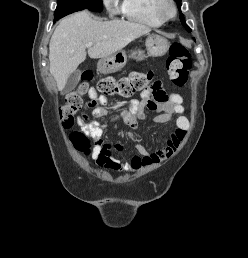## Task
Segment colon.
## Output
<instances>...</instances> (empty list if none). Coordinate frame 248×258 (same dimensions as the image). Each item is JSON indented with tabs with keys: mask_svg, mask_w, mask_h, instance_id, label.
Instances as JSON below:
<instances>
[{
	"mask_svg": "<svg viewBox=\"0 0 248 258\" xmlns=\"http://www.w3.org/2000/svg\"><path fill=\"white\" fill-rule=\"evenodd\" d=\"M190 69L191 56L189 51L182 44L173 43L167 60V71L171 81L177 86L185 85ZM91 78L90 73H85L79 88L67 95L64 104L59 108V118L62 125L66 127L73 125L74 114L82 107V96L87 92ZM152 80L153 74L151 72H133L120 79L111 76L104 77L98 82L97 88L103 95L131 97L150 89L154 96L160 98L165 96L161 84L159 82L152 84ZM70 139L79 152L89 153L90 139L84 132L74 131L71 133Z\"/></svg>",
	"mask_w": 248,
	"mask_h": 258,
	"instance_id": "5ec220e1",
	"label": "colon"
}]
</instances>
